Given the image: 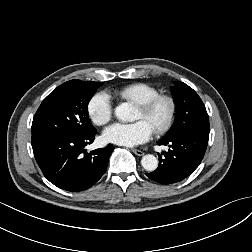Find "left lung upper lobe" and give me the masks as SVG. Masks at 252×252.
Masks as SVG:
<instances>
[{
    "mask_svg": "<svg viewBox=\"0 0 252 252\" xmlns=\"http://www.w3.org/2000/svg\"><path fill=\"white\" fill-rule=\"evenodd\" d=\"M176 104L174 125L162 139H170L190 131L209 132L206 108L197 93L183 82L172 88Z\"/></svg>",
    "mask_w": 252,
    "mask_h": 252,
    "instance_id": "left-lung-upper-lobe-1",
    "label": "left lung upper lobe"
}]
</instances>
